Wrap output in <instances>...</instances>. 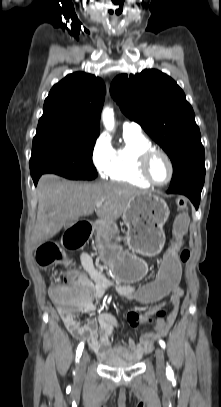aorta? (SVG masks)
<instances>
[{
    "label": "aorta",
    "instance_id": "aorta-1",
    "mask_svg": "<svg viewBox=\"0 0 221 407\" xmlns=\"http://www.w3.org/2000/svg\"><path fill=\"white\" fill-rule=\"evenodd\" d=\"M102 120L107 130H112L114 127V112L113 109L107 107L102 112Z\"/></svg>",
    "mask_w": 221,
    "mask_h": 407
}]
</instances>
